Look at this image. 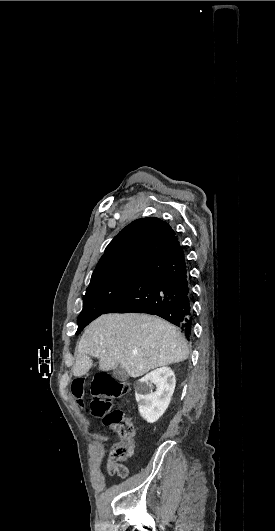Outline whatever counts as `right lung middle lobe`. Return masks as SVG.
<instances>
[{"mask_svg":"<svg viewBox=\"0 0 275 531\" xmlns=\"http://www.w3.org/2000/svg\"><path fill=\"white\" fill-rule=\"evenodd\" d=\"M145 267L146 265L127 267L91 281L83 298L76 334L113 306L137 281Z\"/></svg>","mask_w":275,"mask_h":531,"instance_id":"1","label":"right lung middle lobe"}]
</instances>
